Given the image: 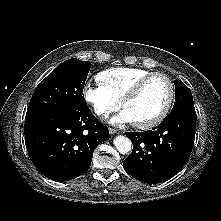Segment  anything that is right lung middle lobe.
<instances>
[{
	"mask_svg": "<svg viewBox=\"0 0 221 221\" xmlns=\"http://www.w3.org/2000/svg\"><path fill=\"white\" fill-rule=\"evenodd\" d=\"M91 63L69 59L52 71L37 86L27 113L63 112L78 114L89 110L83 88Z\"/></svg>",
	"mask_w": 221,
	"mask_h": 221,
	"instance_id": "dd1d6c3e",
	"label": "right lung middle lobe"
}]
</instances>
